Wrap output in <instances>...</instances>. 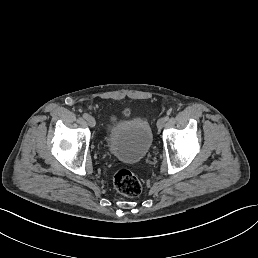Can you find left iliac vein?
I'll return each mask as SVG.
<instances>
[{
	"instance_id": "4c4485c4",
	"label": "left iliac vein",
	"mask_w": 258,
	"mask_h": 258,
	"mask_svg": "<svg viewBox=\"0 0 258 258\" xmlns=\"http://www.w3.org/2000/svg\"><path fill=\"white\" fill-rule=\"evenodd\" d=\"M165 123H166L165 118L161 117L158 119L156 125H157L158 129H161V127H164Z\"/></svg>"
}]
</instances>
